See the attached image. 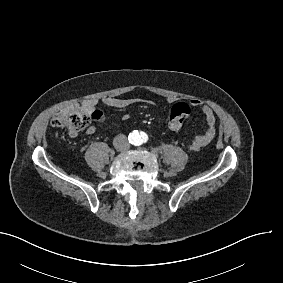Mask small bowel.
I'll list each match as a JSON object with an SVG mask.
<instances>
[{
    "mask_svg": "<svg viewBox=\"0 0 283 283\" xmlns=\"http://www.w3.org/2000/svg\"><path fill=\"white\" fill-rule=\"evenodd\" d=\"M168 102L173 103L174 99L169 98ZM99 104H102L106 107L118 108V109L127 108V107H130V106L136 105V104H145V105L152 106V107L156 106L155 101L148 100V99L104 97L101 100H98L96 98L86 99L81 104V109L85 113L92 115L93 120H95L97 122H104L105 121L104 114L97 109V106ZM178 104H180V103H177L174 106V108ZM184 104H187V103H184ZM187 105L192 106V107H200L202 109V112H203V115H204V117H203V129H202L201 133H199L197 136L192 138L187 143L188 150H190L192 152H198L201 149H203L204 147H206L214 139V137L216 135V131H217L216 117H215L214 112L211 109V107L206 105V104H203L198 99H191ZM171 114H172V111H171ZM128 118H129L128 114H124L123 117H122L123 120H127ZM168 126H169V124H168ZM169 128L173 131H177V129H173L170 126H169ZM95 132H96V129L93 126L88 127L87 130H86V133L89 134V135H92Z\"/></svg>",
    "mask_w": 283,
    "mask_h": 283,
    "instance_id": "c3829d8e",
    "label": "small bowel"
}]
</instances>
